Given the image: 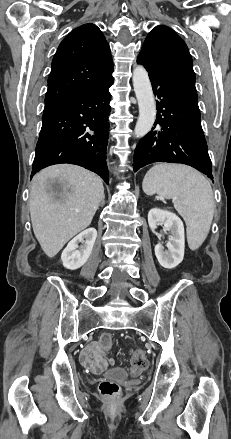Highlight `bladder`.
Returning <instances> with one entry per match:
<instances>
[{
	"mask_svg": "<svg viewBox=\"0 0 231 439\" xmlns=\"http://www.w3.org/2000/svg\"><path fill=\"white\" fill-rule=\"evenodd\" d=\"M107 375L111 378L121 379V378H124L126 376V372L123 369L117 368V369L109 371L107 373Z\"/></svg>",
	"mask_w": 231,
	"mask_h": 439,
	"instance_id": "bladder-1",
	"label": "bladder"
}]
</instances>
